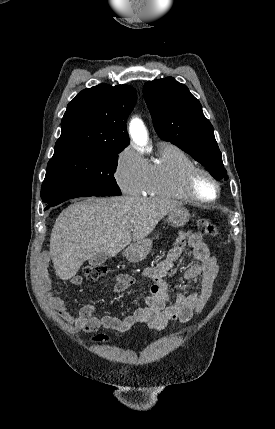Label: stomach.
Segmentation results:
<instances>
[{
	"instance_id": "0dacf381",
	"label": "stomach",
	"mask_w": 275,
	"mask_h": 429,
	"mask_svg": "<svg viewBox=\"0 0 275 429\" xmlns=\"http://www.w3.org/2000/svg\"><path fill=\"white\" fill-rule=\"evenodd\" d=\"M189 211L184 207H179L168 214V223L174 227H181L189 220ZM152 248V240L146 238L135 242L126 251L125 257L130 262L142 261Z\"/></svg>"
}]
</instances>
